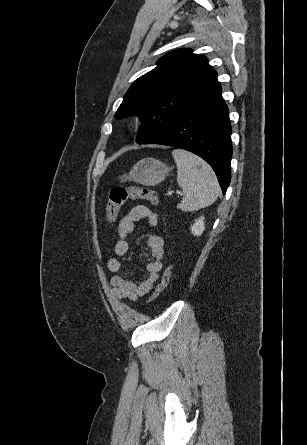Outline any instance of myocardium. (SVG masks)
Wrapping results in <instances>:
<instances>
[{
	"label": "myocardium",
	"instance_id": "myocardium-1",
	"mask_svg": "<svg viewBox=\"0 0 307 445\" xmlns=\"http://www.w3.org/2000/svg\"><path fill=\"white\" fill-rule=\"evenodd\" d=\"M147 122V116L143 111L136 110L129 113L124 120L126 131H136L143 127Z\"/></svg>",
	"mask_w": 307,
	"mask_h": 445
}]
</instances>
